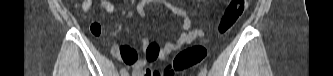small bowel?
Returning <instances> with one entry per match:
<instances>
[{"label": "small bowel", "mask_w": 333, "mask_h": 76, "mask_svg": "<svg viewBox=\"0 0 333 76\" xmlns=\"http://www.w3.org/2000/svg\"><path fill=\"white\" fill-rule=\"evenodd\" d=\"M100 6L102 9L111 14L115 10V6L110 0H100ZM147 1H140L138 4V12L141 15H144V6ZM201 1L194 2L193 11L187 12L186 10L174 6L169 2H165L167 7L176 15L180 16L183 19L182 23V31L178 37L175 38L173 42H169L164 44L163 46H159L158 43L154 41H150L147 38H143V57L141 59H137L138 49L135 48L134 44H114L112 46V53L114 56L122 59L126 64H129L133 69L135 76H147V71H143V68L148 63H153L156 61H164L170 55H172L177 50L181 49L185 45L192 44L196 39L204 37V31L201 28L191 29V19L192 15H194L196 7L199 6ZM75 8H81L82 11L88 12L93 6L92 0H84L80 4H75ZM102 27L98 22H93L90 25V32L92 39H101L102 38ZM149 76H167L166 72H163L162 68H152L150 70Z\"/></svg>", "instance_id": "c3829d8e"}]
</instances>
